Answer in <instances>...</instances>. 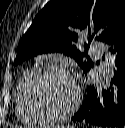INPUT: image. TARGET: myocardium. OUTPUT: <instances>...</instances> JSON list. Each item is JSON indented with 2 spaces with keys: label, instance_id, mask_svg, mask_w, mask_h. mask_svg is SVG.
<instances>
[{
  "label": "myocardium",
  "instance_id": "1",
  "mask_svg": "<svg viewBox=\"0 0 125 128\" xmlns=\"http://www.w3.org/2000/svg\"><path fill=\"white\" fill-rule=\"evenodd\" d=\"M48 74H61L64 76L69 77L72 82L74 83L76 89V96L75 100L72 105L67 108L65 111L60 113H50L45 111L41 108V106L36 102L33 96V86L34 84L44 75ZM24 94L27 105L31 112L40 120L48 123H55L62 121L69 116H71L79 107L81 99H82V92L80 86L75 81L71 73L61 66H54V65H46L39 68L34 69L28 76L25 87H24Z\"/></svg>",
  "mask_w": 125,
  "mask_h": 128
}]
</instances>
